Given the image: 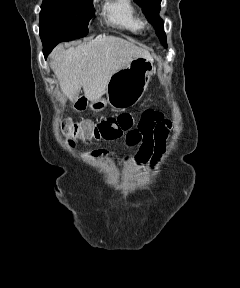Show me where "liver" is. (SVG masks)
<instances>
[{
  "label": "liver",
  "instance_id": "liver-1",
  "mask_svg": "<svg viewBox=\"0 0 240 288\" xmlns=\"http://www.w3.org/2000/svg\"><path fill=\"white\" fill-rule=\"evenodd\" d=\"M137 57L153 60L147 50L103 35L67 50L58 45L51 53L50 66L70 101H77L83 88L87 100L93 102L106 93L112 75Z\"/></svg>",
  "mask_w": 240,
  "mask_h": 288
}]
</instances>
